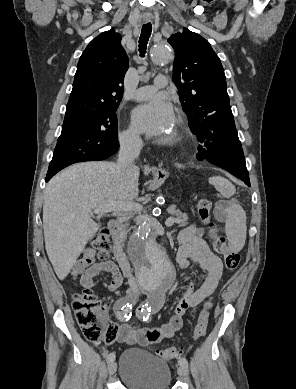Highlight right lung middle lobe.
<instances>
[{
	"instance_id": "obj_1",
	"label": "right lung middle lobe",
	"mask_w": 296,
	"mask_h": 389,
	"mask_svg": "<svg viewBox=\"0 0 296 389\" xmlns=\"http://www.w3.org/2000/svg\"><path fill=\"white\" fill-rule=\"evenodd\" d=\"M116 108L65 118L49 168L106 159L109 152L119 147Z\"/></svg>"
}]
</instances>
